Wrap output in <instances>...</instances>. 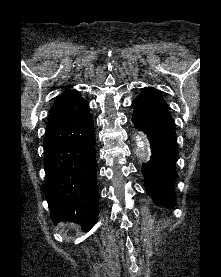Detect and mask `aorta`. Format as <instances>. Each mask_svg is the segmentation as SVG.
<instances>
[{"label": "aorta", "mask_w": 221, "mask_h": 277, "mask_svg": "<svg viewBox=\"0 0 221 277\" xmlns=\"http://www.w3.org/2000/svg\"><path fill=\"white\" fill-rule=\"evenodd\" d=\"M137 143V153L139 157L144 158L147 155L148 149L146 148V142L141 134L135 137Z\"/></svg>", "instance_id": "1"}]
</instances>
